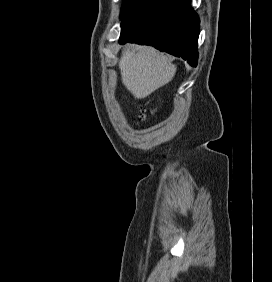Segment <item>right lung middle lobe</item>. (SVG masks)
I'll return each instance as SVG.
<instances>
[{
    "label": "right lung middle lobe",
    "mask_w": 272,
    "mask_h": 282,
    "mask_svg": "<svg viewBox=\"0 0 272 282\" xmlns=\"http://www.w3.org/2000/svg\"><path fill=\"white\" fill-rule=\"evenodd\" d=\"M141 0H123L121 19H123Z\"/></svg>",
    "instance_id": "dd1d6c3e"
}]
</instances>
